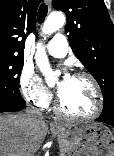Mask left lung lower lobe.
Wrapping results in <instances>:
<instances>
[{"instance_id": "1", "label": "left lung lower lobe", "mask_w": 114, "mask_h": 156, "mask_svg": "<svg viewBox=\"0 0 114 156\" xmlns=\"http://www.w3.org/2000/svg\"><path fill=\"white\" fill-rule=\"evenodd\" d=\"M96 121L107 123L114 127V116L101 115Z\"/></svg>"}]
</instances>
